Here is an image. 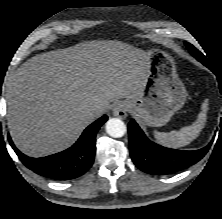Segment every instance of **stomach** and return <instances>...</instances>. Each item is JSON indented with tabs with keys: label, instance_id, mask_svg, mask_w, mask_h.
I'll return each mask as SVG.
<instances>
[{
	"label": "stomach",
	"instance_id": "1",
	"mask_svg": "<svg viewBox=\"0 0 222 219\" xmlns=\"http://www.w3.org/2000/svg\"><path fill=\"white\" fill-rule=\"evenodd\" d=\"M142 92L124 101L127 111L141 122L160 127L183 107L187 92L176 72L175 61L167 52L152 48Z\"/></svg>",
	"mask_w": 222,
	"mask_h": 219
}]
</instances>
